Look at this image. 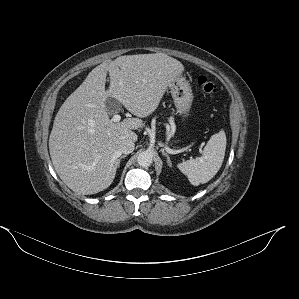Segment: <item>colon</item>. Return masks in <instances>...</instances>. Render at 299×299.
Here are the masks:
<instances>
[{"instance_id":"colon-1","label":"colon","mask_w":299,"mask_h":299,"mask_svg":"<svg viewBox=\"0 0 299 299\" xmlns=\"http://www.w3.org/2000/svg\"><path fill=\"white\" fill-rule=\"evenodd\" d=\"M198 85L201 87L202 91L208 95H218V91L215 85L209 81L206 77L201 76L197 80Z\"/></svg>"}]
</instances>
